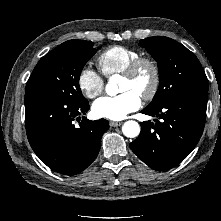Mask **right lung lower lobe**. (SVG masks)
Returning a JSON list of instances; mask_svg holds the SVG:
<instances>
[{
	"instance_id": "right-lung-lower-lobe-1",
	"label": "right lung lower lobe",
	"mask_w": 221,
	"mask_h": 221,
	"mask_svg": "<svg viewBox=\"0 0 221 221\" xmlns=\"http://www.w3.org/2000/svg\"><path fill=\"white\" fill-rule=\"evenodd\" d=\"M89 110V103L72 105L35 93L25 94L28 141L40 160L53 171L75 175L97 157L108 121L87 120L75 127L74 119ZM79 119V117L77 118Z\"/></svg>"
}]
</instances>
